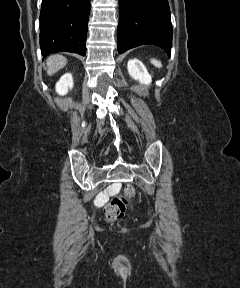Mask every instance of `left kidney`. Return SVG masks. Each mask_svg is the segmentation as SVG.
<instances>
[{"label":"left kidney","mask_w":240,"mask_h":288,"mask_svg":"<svg viewBox=\"0 0 240 288\" xmlns=\"http://www.w3.org/2000/svg\"><path fill=\"white\" fill-rule=\"evenodd\" d=\"M129 75L141 84L149 85L152 81L144 64L138 59H130L127 63Z\"/></svg>","instance_id":"obj_1"}]
</instances>
